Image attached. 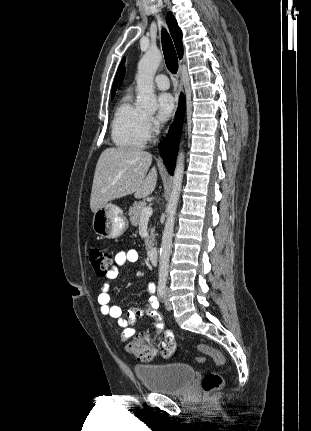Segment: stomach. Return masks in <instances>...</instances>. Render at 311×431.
I'll return each mask as SVG.
<instances>
[{"mask_svg":"<svg viewBox=\"0 0 311 431\" xmlns=\"http://www.w3.org/2000/svg\"><path fill=\"white\" fill-rule=\"evenodd\" d=\"M128 225L127 217L116 204H106L93 214L92 227L100 237H108V239L120 237Z\"/></svg>","mask_w":311,"mask_h":431,"instance_id":"1","label":"stomach"}]
</instances>
